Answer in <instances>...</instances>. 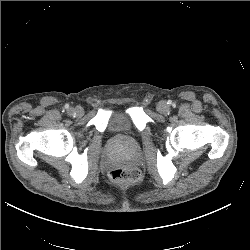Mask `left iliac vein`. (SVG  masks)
Here are the masks:
<instances>
[{
	"mask_svg": "<svg viewBox=\"0 0 250 250\" xmlns=\"http://www.w3.org/2000/svg\"><path fill=\"white\" fill-rule=\"evenodd\" d=\"M157 110L162 114H166L169 111V105L165 101H160Z\"/></svg>",
	"mask_w": 250,
	"mask_h": 250,
	"instance_id": "obj_1",
	"label": "left iliac vein"
}]
</instances>
